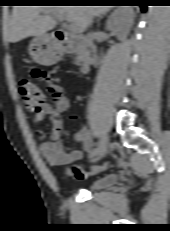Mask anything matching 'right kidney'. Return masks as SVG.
Returning <instances> with one entry per match:
<instances>
[{
  "label": "right kidney",
  "mask_w": 170,
  "mask_h": 231,
  "mask_svg": "<svg viewBox=\"0 0 170 231\" xmlns=\"http://www.w3.org/2000/svg\"><path fill=\"white\" fill-rule=\"evenodd\" d=\"M134 11L130 7H120L107 20V28L123 40L129 34L134 23Z\"/></svg>",
  "instance_id": "ca27d5eb"
}]
</instances>
